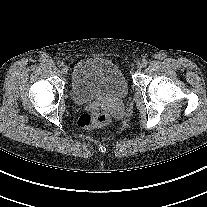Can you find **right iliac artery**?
<instances>
[{
    "mask_svg": "<svg viewBox=\"0 0 207 207\" xmlns=\"http://www.w3.org/2000/svg\"><path fill=\"white\" fill-rule=\"evenodd\" d=\"M57 65H58V67H62L64 65V62L63 61H58Z\"/></svg>",
    "mask_w": 207,
    "mask_h": 207,
    "instance_id": "82829eb1",
    "label": "right iliac artery"
}]
</instances>
